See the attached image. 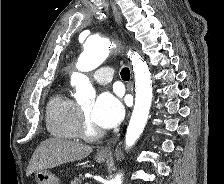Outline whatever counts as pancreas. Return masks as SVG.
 <instances>
[{
	"label": "pancreas",
	"mask_w": 224,
	"mask_h": 184,
	"mask_svg": "<svg viewBox=\"0 0 224 184\" xmlns=\"http://www.w3.org/2000/svg\"><path fill=\"white\" fill-rule=\"evenodd\" d=\"M71 184H81V179L78 178V177H75V178L73 179V181L71 182Z\"/></svg>",
	"instance_id": "obj_1"
}]
</instances>
